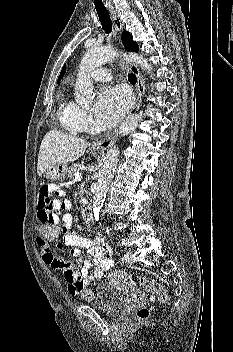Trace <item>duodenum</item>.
<instances>
[{
	"mask_svg": "<svg viewBox=\"0 0 233 352\" xmlns=\"http://www.w3.org/2000/svg\"><path fill=\"white\" fill-rule=\"evenodd\" d=\"M85 215H86L88 220H92L93 211H92V208L90 206L85 209Z\"/></svg>",
	"mask_w": 233,
	"mask_h": 352,
	"instance_id": "1",
	"label": "duodenum"
}]
</instances>
